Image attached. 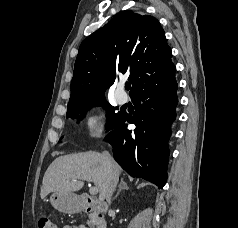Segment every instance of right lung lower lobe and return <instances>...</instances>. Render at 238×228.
<instances>
[{"mask_svg": "<svg viewBox=\"0 0 238 228\" xmlns=\"http://www.w3.org/2000/svg\"><path fill=\"white\" fill-rule=\"evenodd\" d=\"M177 83L175 74L137 90L132 96L135 114L123 113L105 140L113 147L116 162L132 177L143 178L163 188L167 179L171 135L176 118ZM128 122L136 125L128 130Z\"/></svg>", "mask_w": 238, "mask_h": 228, "instance_id": "98d812e1", "label": "right lung lower lobe"}]
</instances>
